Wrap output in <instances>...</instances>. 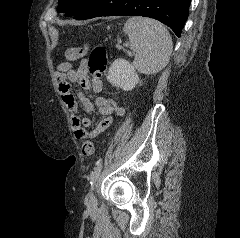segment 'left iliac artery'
<instances>
[{
    "label": "left iliac artery",
    "mask_w": 240,
    "mask_h": 238,
    "mask_svg": "<svg viewBox=\"0 0 240 238\" xmlns=\"http://www.w3.org/2000/svg\"><path fill=\"white\" fill-rule=\"evenodd\" d=\"M102 169V163H98L97 166L93 169L91 173V181L90 184L92 185L98 178Z\"/></svg>",
    "instance_id": "left-iliac-artery-1"
}]
</instances>
